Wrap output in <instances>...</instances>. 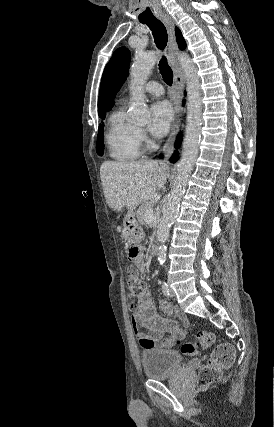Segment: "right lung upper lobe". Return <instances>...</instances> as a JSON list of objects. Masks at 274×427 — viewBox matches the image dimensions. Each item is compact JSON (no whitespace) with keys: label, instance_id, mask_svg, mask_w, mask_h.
Masks as SVG:
<instances>
[{"label":"right lung upper lobe","instance_id":"1","mask_svg":"<svg viewBox=\"0 0 274 427\" xmlns=\"http://www.w3.org/2000/svg\"><path fill=\"white\" fill-rule=\"evenodd\" d=\"M175 31H176V40H177L179 48L180 49H185L186 43H185V40H184V38H183L180 30L176 27ZM104 113H105V110L101 106V103H100V100H99L98 101V114H104Z\"/></svg>","mask_w":274,"mask_h":427}]
</instances>
